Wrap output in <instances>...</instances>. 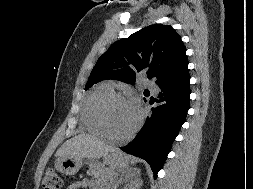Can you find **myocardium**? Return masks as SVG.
Returning a JSON list of instances; mask_svg holds the SVG:
<instances>
[{
    "instance_id": "obj_1",
    "label": "myocardium",
    "mask_w": 253,
    "mask_h": 189,
    "mask_svg": "<svg viewBox=\"0 0 253 189\" xmlns=\"http://www.w3.org/2000/svg\"><path fill=\"white\" fill-rule=\"evenodd\" d=\"M116 102L132 105L131 101L121 94L113 93L109 96H106L100 101V103L97 106V109H96L97 120L104 136L116 141H127L131 139L136 134V132L140 129L142 125V121H143V116H142V113L138 110L136 124L128 133L124 135H116L112 133L107 124L106 112H107L108 107L111 104L116 103Z\"/></svg>"
}]
</instances>
